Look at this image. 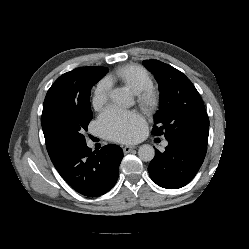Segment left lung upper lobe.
<instances>
[{
    "label": "left lung upper lobe",
    "mask_w": 249,
    "mask_h": 249,
    "mask_svg": "<svg viewBox=\"0 0 249 249\" xmlns=\"http://www.w3.org/2000/svg\"><path fill=\"white\" fill-rule=\"evenodd\" d=\"M143 65L159 83V111L154 116L152 134L166 140L207 147L209 118L202 98L192 82L179 70L158 60Z\"/></svg>",
    "instance_id": "left-lung-upper-lobe-1"
}]
</instances>
